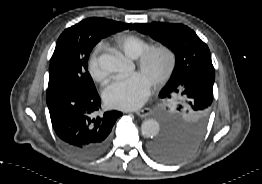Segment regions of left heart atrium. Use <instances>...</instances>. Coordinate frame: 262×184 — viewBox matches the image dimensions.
Returning <instances> with one entry per match:
<instances>
[{
  "instance_id": "left-heart-atrium-1",
  "label": "left heart atrium",
  "mask_w": 262,
  "mask_h": 184,
  "mask_svg": "<svg viewBox=\"0 0 262 184\" xmlns=\"http://www.w3.org/2000/svg\"><path fill=\"white\" fill-rule=\"evenodd\" d=\"M151 81L142 73L114 82L105 92V100L111 107L133 109L141 105L149 94Z\"/></svg>"
}]
</instances>
